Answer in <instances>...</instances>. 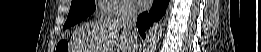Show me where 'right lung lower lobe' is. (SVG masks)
Instances as JSON below:
<instances>
[{"label":"right lung lower lobe","mask_w":261,"mask_h":52,"mask_svg":"<svg viewBox=\"0 0 261 52\" xmlns=\"http://www.w3.org/2000/svg\"><path fill=\"white\" fill-rule=\"evenodd\" d=\"M169 0H154L151 10L141 14L137 19V27L142 38H145L144 31L158 21L165 13Z\"/></svg>","instance_id":"1"}]
</instances>
